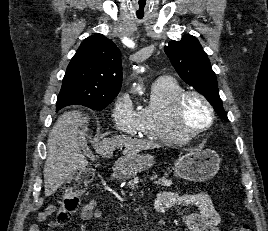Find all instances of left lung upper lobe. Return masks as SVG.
Returning <instances> with one entry per match:
<instances>
[{"mask_svg": "<svg viewBox=\"0 0 268 231\" xmlns=\"http://www.w3.org/2000/svg\"><path fill=\"white\" fill-rule=\"evenodd\" d=\"M164 50L180 77L203 94L222 119L229 121L219 96L216 74L198 39L184 35L180 41H170Z\"/></svg>", "mask_w": 268, "mask_h": 231, "instance_id": "5c2ea615", "label": "left lung upper lobe"}]
</instances>
